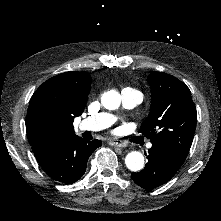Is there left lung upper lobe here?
Returning a JSON list of instances; mask_svg holds the SVG:
<instances>
[{
	"instance_id": "5c2ea615",
	"label": "left lung upper lobe",
	"mask_w": 221,
	"mask_h": 221,
	"mask_svg": "<svg viewBox=\"0 0 221 221\" xmlns=\"http://www.w3.org/2000/svg\"><path fill=\"white\" fill-rule=\"evenodd\" d=\"M151 109L139 132L152 144L167 147L185 161L195 133L197 112L185 83L164 72L152 71Z\"/></svg>"
}]
</instances>
